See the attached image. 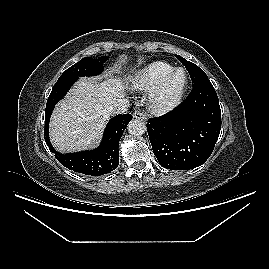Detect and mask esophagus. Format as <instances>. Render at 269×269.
<instances>
[{
    "label": "esophagus",
    "mask_w": 269,
    "mask_h": 269,
    "mask_svg": "<svg viewBox=\"0 0 269 269\" xmlns=\"http://www.w3.org/2000/svg\"><path fill=\"white\" fill-rule=\"evenodd\" d=\"M133 117L142 121L146 120V116L141 111L138 110L133 113Z\"/></svg>",
    "instance_id": "obj_1"
}]
</instances>
